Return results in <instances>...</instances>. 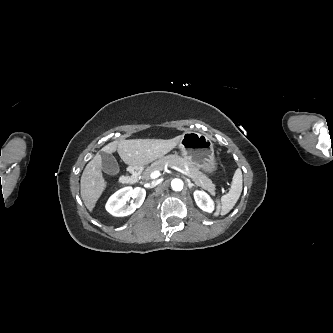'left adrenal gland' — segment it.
<instances>
[{"mask_svg": "<svg viewBox=\"0 0 333 333\" xmlns=\"http://www.w3.org/2000/svg\"><path fill=\"white\" fill-rule=\"evenodd\" d=\"M187 183H188V187L191 189L193 186L196 187V185H194L193 183H191V181L189 179H186Z\"/></svg>", "mask_w": 333, "mask_h": 333, "instance_id": "a2214340", "label": "left adrenal gland"}]
</instances>
